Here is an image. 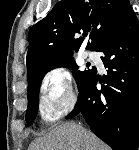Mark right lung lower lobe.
<instances>
[{
    "label": "right lung lower lobe",
    "mask_w": 139,
    "mask_h": 150,
    "mask_svg": "<svg viewBox=\"0 0 139 150\" xmlns=\"http://www.w3.org/2000/svg\"><path fill=\"white\" fill-rule=\"evenodd\" d=\"M107 75L101 82L95 69L78 86V101L66 117L79 113L91 131L113 150H137L139 145V21L130 10L121 23L96 50Z\"/></svg>",
    "instance_id": "98d812e1"
}]
</instances>
